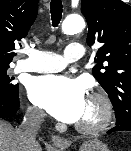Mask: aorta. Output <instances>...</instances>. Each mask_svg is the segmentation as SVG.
I'll list each match as a JSON object with an SVG mask.
<instances>
[{"label":"aorta","instance_id":"aorta-1","mask_svg":"<svg viewBox=\"0 0 131 151\" xmlns=\"http://www.w3.org/2000/svg\"><path fill=\"white\" fill-rule=\"evenodd\" d=\"M84 28V19L76 14L67 16L62 23V32L67 35L78 33Z\"/></svg>","mask_w":131,"mask_h":151}]
</instances>
